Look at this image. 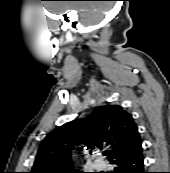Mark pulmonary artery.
<instances>
[{
  "label": "pulmonary artery",
  "mask_w": 170,
  "mask_h": 173,
  "mask_svg": "<svg viewBox=\"0 0 170 173\" xmlns=\"http://www.w3.org/2000/svg\"><path fill=\"white\" fill-rule=\"evenodd\" d=\"M95 165H96V167H98V168H99V167H101V166H102V163H101L100 161H96V162H95Z\"/></svg>",
  "instance_id": "obj_1"
}]
</instances>
